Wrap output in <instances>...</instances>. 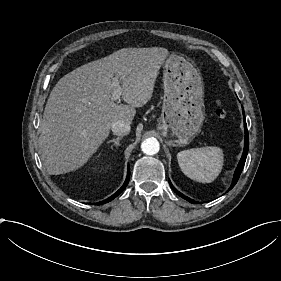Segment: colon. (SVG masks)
Listing matches in <instances>:
<instances>
[{"mask_svg": "<svg viewBox=\"0 0 281 281\" xmlns=\"http://www.w3.org/2000/svg\"><path fill=\"white\" fill-rule=\"evenodd\" d=\"M214 117L217 121L224 122L230 117V110L228 104L219 99L216 102L214 109Z\"/></svg>", "mask_w": 281, "mask_h": 281, "instance_id": "colon-1", "label": "colon"}]
</instances>
